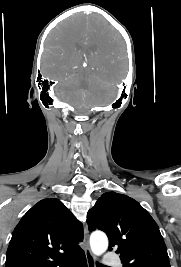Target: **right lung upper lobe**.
<instances>
[{"label":"right lung upper lobe","instance_id":"1","mask_svg":"<svg viewBox=\"0 0 181 267\" xmlns=\"http://www.w3.org/2000/svg\"><path fill=\"white\" fill-rule=\"evenodd\" d=\"M83 226L58 199L35 204L15 227L5 267H65L83 254Z\"/></svg>","mask_w":181,"mask_h":267}]
</instances>
